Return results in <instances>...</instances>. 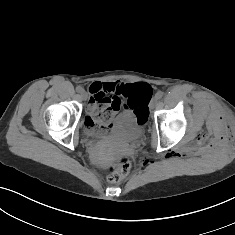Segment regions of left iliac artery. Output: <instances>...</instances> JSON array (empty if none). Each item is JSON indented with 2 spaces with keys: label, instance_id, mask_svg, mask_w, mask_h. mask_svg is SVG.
I'll return each instance as SVG.
<instances>
[{
  "label": "left iliac artery",
  "instance_id": "44dca946",
  "mask_svg": "<svg viewBox=\"0 0 235 235\" xmlns=\"http://www.w3.org/2000/svg\"><path fill=\"white\" fill-rule=\"evenodd\" d=\"M155 97L157 99H161L163 97V92L162 91H158L156 94H155Z\"/></svg>",
  "mask_w": 235,
  "mask_h": 235
}]
</instances>
